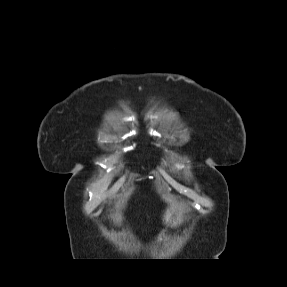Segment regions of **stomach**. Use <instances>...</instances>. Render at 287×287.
I'll list each match as a JSON object with an SVG mask.
<instances>
[{
  "label": "stomach",
  "mask_w": 287,
  "mask_h": 287,
  "mask_svg": "<svg viewBox=\"0 0 287 287\" xmlns=\"http://www.w3.org/2000/svg\"><path fill=\"white\" fill-rule=\"evenodd\" d=\"M163 234L160 235V238H162Z\"/></svg>",
  "instance_id": "1"
}]
</instances>
